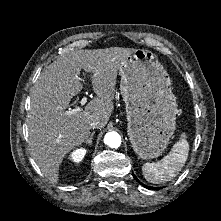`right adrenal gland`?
Here are the masks:
<instances>
[{
	"instance_id": "right-adrenal-gland-1",
	"label": "right adrenal gland",
	"mask_w": 221,
	"mask_h": 221,
	"mask_svg": "<svg viewBox=\"0 0 221 221\" xmlns=\"http://www.w3.org/2000/svg\"><path fill=\"white\" fill-rule=\"evenodd\" d=\"M94 134H95V132H92L91 135L89 136V138L85 140V143L88 144L89 146L92 145V140H93Z\"/></svg>"
}]
</instances>
